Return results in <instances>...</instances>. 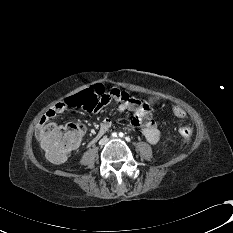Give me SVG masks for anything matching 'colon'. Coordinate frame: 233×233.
Masks as SVG:
<instances>
[{"instance_id":"1","label":"colon","mask_w":233,"mask_h":233,"mask_svg":"<svg viewBox=\"0 0 233 233\" xmlns=\"http://www.w3.org/2000/svg\"><path fill=\"white\" fill-rule=\"evenodd\" d=\"M118 88H113V90ZM106 87L102 84L93 85L91 88L65 99L67 108H78L92 112L94 105L105 94ZM123 91V90H122ZM139 102V100H138ZM172 113L179 120H186V110L180 105L172 107ZM180 136L188 139L192 136L191 126H183L179 130ZM83 135V130L78 123L65 125H49L38 132L39 141L47 158L53 163H61L75 149Z\"/></svg>"}]
</instances>
